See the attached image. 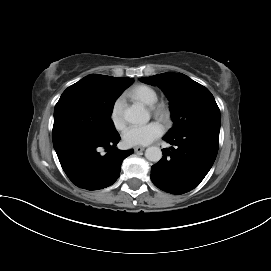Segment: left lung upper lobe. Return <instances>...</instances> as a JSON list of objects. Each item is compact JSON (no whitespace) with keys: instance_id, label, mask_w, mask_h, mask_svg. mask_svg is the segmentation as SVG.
Returning a JSON list of instances; mask_svg holds the SVG:
<instances>
[{"instance_id":"5c2ea615","label":"left lung upper lobe","mask_w":271,"mask_h":271,"mask_svg":"<svg viewBox=\"0 0 271 271\" xmlns=\"http://www.w3.org/2000/svg\"><path fill=\"white\" fill-rule=\"evenodd\" d=\"M141 82L157 85L170 100L174 122L166 136L199 128L220 129V110L210 91L182 73L166 72L140 78Z\"/></svg>"}]
</instances>
